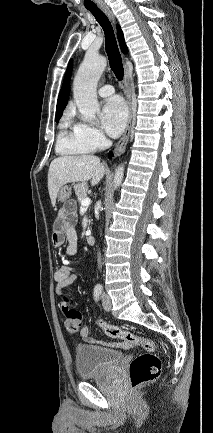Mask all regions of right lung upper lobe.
<instances>
[{
	"instance_id": "1",
	"label": "right lung upper lobe",
	"mask_w": 213,
	"mask_h": 433,
	"mask_svg": "<svg viewBox=\"0 0 213 433\" xmlns=\"http://www.w3.org/2000/svg\"><path fill=\"white\" fill-rule=\"evenodd\" d=\"M117 36L120 43V47L123 53H127L128 49L124 41L123 33L119 25H117ZM72 63L73 60L71 59L67 68V72L63 81L62 88L60 90L58 101H57V107H56V120H59L61 115L63 114V110L65 109L68 98L70 95V78H71V72H72Z\"/></svg>"
}]
</instances>
